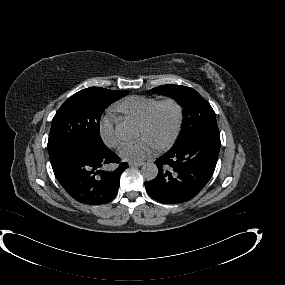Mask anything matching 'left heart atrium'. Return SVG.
<instances>
[{"instance_id": "obj_1", "label": "left heart atrium", "mask_w": 285, "mask_h": 285, "mask_svg": "<svg viewBox=\"0 0 285 285\" xmlns=\"http://www.w3.org/2000/svg\"><path fill=\"white\" fill-rule=\"evenodd\" d=\"M146 139H137L124 144L121 149L122 155L133 160L146 158L151 150V144Z\"/></svg>"}]
</instances>
